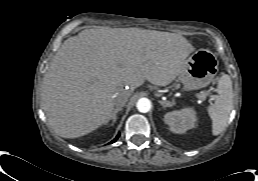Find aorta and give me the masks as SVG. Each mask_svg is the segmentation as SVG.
I'll return each instance as SVG.
<instances>
[{"label":"aorta","mask_w":258,"mask_h":181,"mask_svg":"<svg viewBox=\"0 0 258 181\" xmlns=\"http://www.w3.org/2000/svg\"><path fill=\"white\" fill-rule=\"evenodd\" d=\"M139 112L147 113L151 109V102L147 98H140L136 104Z\"/></svg>","instance_id":"aorta-1"}]
</instances>
